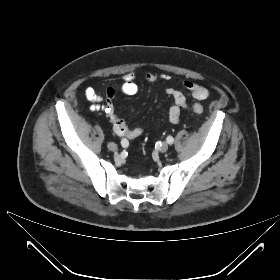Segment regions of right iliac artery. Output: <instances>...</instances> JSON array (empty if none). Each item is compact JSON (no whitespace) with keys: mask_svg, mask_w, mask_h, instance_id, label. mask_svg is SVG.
I'll list each match as a JSON object with an SVG mask.
<instances>
[{"mask_svg":"<svg viewBox=\"0 0 280 280\" xmlns=\"http://www.w3.org/2000/svg\"><path fill=\"white\" fill-rule=\"evenodd\" d=\"M127 144H128L127 140L123 139V140L121 141V145H122L123 147H126Z\"/></svg>","mask_w":280,"mask_h":280,"instance_id":"right-iliac-artery-1","label":"right iliac artery"}]
</instances>
